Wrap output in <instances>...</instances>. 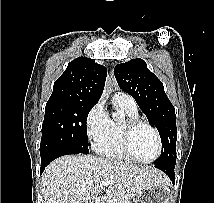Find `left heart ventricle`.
<instances>
[{
  "instance_id": "b2bd125f",
  "label": "left heart ventricle",
  "mask_w": 214,
  "mask_h": 203,
  "mask_svg": "<svg viewBox=\"0 0 214 203\" xmlns=\"http://www.w3.org/2000/svg\"><path fill=\"white\" fill-rule=\"evenodd\" d=\"M131 148L134 155L139 159L149 160L153 158L157 151L154 133L148 127H138L132 135Z\"/></svg>"
}]
</instances>
